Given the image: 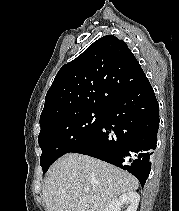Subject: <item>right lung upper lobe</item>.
<instances>
[{"instance_id": "right-lung-upper-lobe-1", "label": "right lung upper lobe", "mask_w": 179, "mask_h": 211, "mask_svg": "<svg viewBox=\"0 0 179 211\" xmlns=\"http://www.w3.org/2000/svg\"><path fill=\"white\" fill-rule=\"evenodd\" d=\"M145 74L127 44L106 35L57 73L45 98L40 126L93 108H107Z\"/></svg>"}]
</instances>
